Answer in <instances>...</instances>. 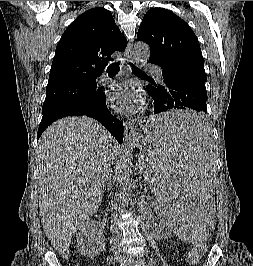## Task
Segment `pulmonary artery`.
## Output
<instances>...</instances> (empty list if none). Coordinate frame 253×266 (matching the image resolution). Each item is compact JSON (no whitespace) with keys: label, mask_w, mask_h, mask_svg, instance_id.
I'll return each instance as SVG.
<instances>
[{"label":"pulmonary artery","mask_w":253,"mask_h":266,"mask_svg":"<svg viewBox=\"0 0 253 266\" xmlns=\"http://www.w3.org/2000/svg\"><path fill=\"white\" fill-rule=\"evenodd\" d=\"M149 70L153 73V75L155 76L157 81H159L160 83L164 82L162 70L160 67H157V66L156 67H150ZM110 81H112V79L109 78L107 75H103V76L98 78V83H100V84H106Z\"/></svg>","instance_id":"e3ab8cb5"}]
</instances>
